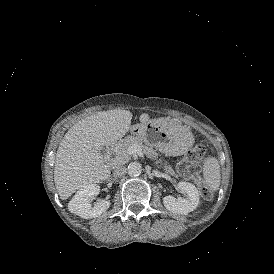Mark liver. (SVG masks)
<instances>
[{"mask_svg":"<svg viewBox=\"0 0 274 274\" xmlns=\"http://www.w3.org/2000/svg\"><path fill=\"white\" fill-rule=\"evenodd\" d=\"M131 119L127 110H110L92 114L69 129L59 145L54 170L61 199L88 183L108 178L110 172L100 149L121 138ZM147 120V114H143L141 121Z\"/></svg>","mask_w":274,"mask_h":274,"instance_id":"1","label":"liver"}]
</instances>
